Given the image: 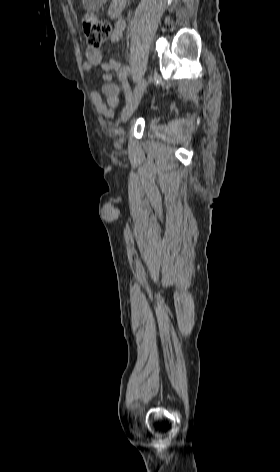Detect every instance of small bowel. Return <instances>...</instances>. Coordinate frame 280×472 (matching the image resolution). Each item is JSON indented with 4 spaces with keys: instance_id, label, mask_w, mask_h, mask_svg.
I'll list each match as a JSON object with an SVG mask.
<instances>
[{
    "instance_id": "c3829d8e",
    "label": "small bowel",
    "mask_w": 280,
    "mask_h": 472,
    "mask_svg": "<svg viewBox=\"0 0 280 472\" xmlns=\"http://www.w3.org/2000/svg\"><path fill=\"white\" fill-rule=\"evenodd\" d=\"M123 28L124 27L122 23L116 25L110 39L112 43L118 41L121 38ZM97 66L104 71L102 76L103 85L101 92L97 90L91 91L90 99L99 113L109 117L111 115L112 108L117 105L119 96L124 88L112 82V73L120 72L122 67L121 64L115 60L103 61L99 51L88 55L87 60L82 64V68L85 72H89Z\"/></svg>"
}]
</instances>
